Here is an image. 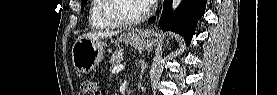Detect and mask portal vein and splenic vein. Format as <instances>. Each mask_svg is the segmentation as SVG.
Returning <instances> with one entry per match:
<instances>
[{
	"label": "portal vein and splenic vein",
	"instance_id": "18ae733b",
	"mask_svg": "<svg viewBox=\"0 0 277 95\" xmlns=\"http://www.w3.org/2000/svg\"><path fill=\"white\" fill-rule=\"evenodd\" d=\"M124 67H125V66L122 65V64L116 65V66L113 68L112 73H113V74H116V73L120 72Z\"/></svg>",
	"mask_w": 277,
	"mask_h": 95
}]
</instances>
